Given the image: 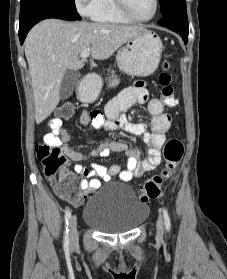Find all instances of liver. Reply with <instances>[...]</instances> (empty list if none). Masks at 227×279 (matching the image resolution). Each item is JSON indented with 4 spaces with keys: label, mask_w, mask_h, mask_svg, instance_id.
<instances>
[{
    "label": "liver",
    "mask_w": 227,
    "mask_h": 279,
    "mask_svg": "<svg viewBox=\"0 0 227 279\" xmlns=\"http://www.w3.org/2000/svg\"><path fill=\"white\" fill-rule=\"evenodd\" d=\"M111 23L65 22L46 19L35 25L25 40V55L31 75L37 124L44 121L60 100V85L67 69L84 66L81 53L91 47V56L106 60L142 29Z\"/></svg>",
    "instance_id": "obj_1"
}]
</instances>
